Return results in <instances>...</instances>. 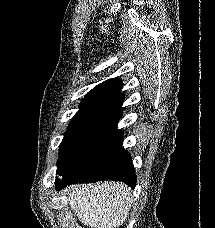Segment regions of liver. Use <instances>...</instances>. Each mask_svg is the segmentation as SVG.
<instances>
[{
	"mask_svg": "<svg viewBox=\"0 0 215 228\" xmlns=\"http://www.w3.org/2000/svg\"><path fill=\"white\" fill-rule=\"evenodd\" d=\"M79 222L89 228H120L132 202V190L123 182L75 184L62 192Z\"/></svg>",
	"mask_w": 215,
	"mask_h": 228,
	"instance_id": "liver-1",
	"label": "liver"
}]
</instances>
